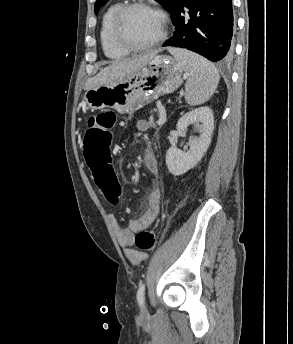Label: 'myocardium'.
<instances>
[{
    "label": "myocardium",
    "instance_id": "myocardium-1",
    "mask_svg": "<svg viewBox=\"0 0 293 344\" xmlns=\"http://www.w3.org/2000/svg\"><path fill=\"white\" fill-rule=\"evenodd\" d=\"M134 9H144L150 11L158 16L161 22V32L158 37L150 42L143 44H136L128 40L123 32V23L127 14ZM168 36V18L166 14L156 6L144 1V0H133L130 3L122 5L116 12L112 22V37L114 42L121 48L129 52H141L149 50L153 47L158 46Z\"/></svg>",
    "mask_w": 293,
    "mask_h": 344
}]
</instances>
